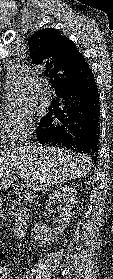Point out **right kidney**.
<instances>
[{
    "mask_svg": "<svg viewBox=\"0 0 113 279\" xmlns=\"http://www.w3.org/2000/svg\"><path fill=\"white\" fill-rule=\"evenodd\" d=\"M76 190L70 186H65L53 192L49 196V202L55 204L62 200L59 207V218H55L51 228L45 227L42 223L34 226L35 239L40 246L46 247L56 241L62 234L72 217V209L75 205Z\"/></svg>",
    "mask_w": 113,
    "mask_h": 279,
    "instance_id": "right-kidney-1",
    "label": "right kidney"
}]
</instances>
